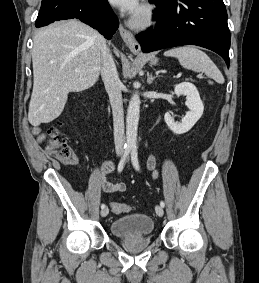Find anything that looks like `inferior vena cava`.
Here are the masks:
<instances>
[{"mask_svg": "<svg viewBox=\"0 0 259 283\" xmlns=\"http://www.w3.org/2000/svg\"><path fill=\"white\" fill-rule=\"evenodd\" d=\"M101 76L112 107L115 147L122 149L125 144L122 84L113 57L106 44L101 50Z\"/></svg>", "mask_w": 259, "mask_h": 283, "instance_id": "1", "label": "inferior vena cava"}]
</instances>
